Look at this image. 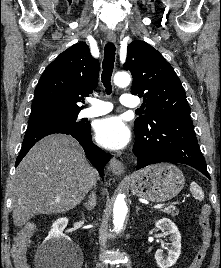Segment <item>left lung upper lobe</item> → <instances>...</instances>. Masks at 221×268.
Returning a JSON list of instances; mask_svg holds the SVG:
<instances>
[{"label": "left lung upper lobe", "instance_id": "left-lung-upper-lobe-1", "mask_svg": "<svg viewBox=\"0 0 221 268\" xmlns=\"http://www.w3.org/2000/svg\"><path fill=\"white\" fill-rule=\"evenodd\" d=\"M124 68L133 76L131 93L143 97L145 115L135 120L134 129H144L153 116L170 114L190 116V107L181 81L172 66L144 41L127 47Z\"/></svg>", "mask_w": 221, "mask_h": 268}]
</instances>
